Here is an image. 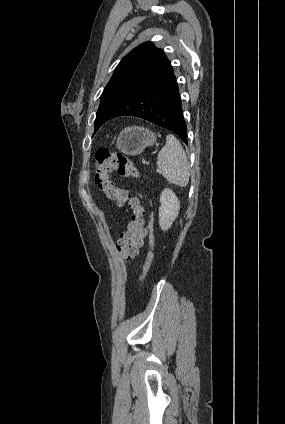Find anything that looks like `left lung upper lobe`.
Instances as JSON below:
<instances>
[{
  "label": "left lung upper lobe",
  "mask_w": 285,
  "mask_h": 424,
  "mask_svg": "<svg viewBox=\"0 0 285 424\" xmlns=\"http://www.w3.org/2000/svg\"><path fill=\"white\" fill-rule=\"evenodd\" d=\"M168 64L164 51L152 42L142 43L129 52L117 65L101 95L94 134L116 107L155 80Z\"/></svg>",
  "instance_id": "1"
}]
</instances>
